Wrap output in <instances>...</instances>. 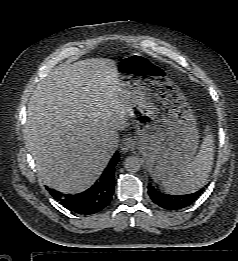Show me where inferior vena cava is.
Returning <instances> with one entry per match:
<instances>
[{"instance_id":"obj_1","label":"inferior vena cava","mask_w":238,"mask_h":261,"mask_svg":"<svg viewBox=\"0 0 238 261\" xmlns=\"http://www.w3.org/2000/svg\"><path fill=\"white\" fill-rule=\"evenodd\" d=\"M116 148H117V142L116 141H109L107 143V149L110 153H114Z\"/></svg>"}]
</instances>
